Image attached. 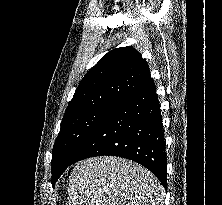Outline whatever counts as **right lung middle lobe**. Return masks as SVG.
I'll list each match as a JSON object with an SVG mask.
<instances>
[{
    "mask_svg": "<svg viewBox=\"0 0 222 205\" xmlns=\"http://www.w3.org/2000/svg\"><path fill=\"white\" fill-rule=\"evenodd\" d=\"M114 106H101L65 118L52 151V178L54 185L70 165L76 152L96 125Z\"/></svg>",
    "mask_w": 222,
    "mask_h": 205,
    "instance_id": "right-lung-middle-lobe-1",
    "label": "right lung middle lobe"
}]
</instances>
